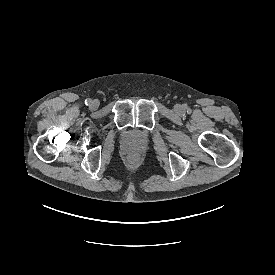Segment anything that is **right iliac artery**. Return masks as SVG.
<instances>
[{"label": "right iliac artery", "instance_id": "82829eb1", "mask_svg": "<svg viewBox=\"0 0 275 275\" xmlns=\"http://www.w3.org/2000/svg\"><path fill=\"white\" fill-rule=\"evenodd\" d=\"M90 103H91V100H90V99H86V100H85V104H86V105H89Z\"/></svg>", "mask_w": 275, "mask_h": 275}]
</instances>
